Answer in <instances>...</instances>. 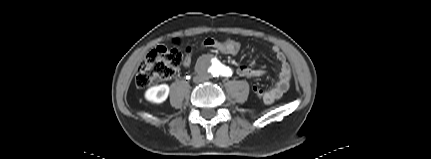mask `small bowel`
Returning a JSON list of instances; mask_svg holds the SVG:
<instances>
[{
	"instance_id": "small-bowel-1",
	"label": "small bowel",
	"mask_w": 431,
	"mask_h": 159,
	"mask_svg": "<svg viewBox=\"0 0 431 159\" xmlns=\"http://www.w3.org/2000/svg\"><path fill=\"white\" fill-rule=\"evenodd\" d=\"M203 47H210L214 49L224 50L226 47L230 49H237L239 52L240 44L234 40H215L212 38H208L203 42ZM214 45V46H213ZM272 51L275 53L276 58L280 64V72L277 82L274 87L268 91H265V94L261 99L265 104H272L274 101L279 99L290 87L291 83V69L289 64L286 61V58L282 52H280L276 47L272 48ZM192 63V50L188 48L186 50V55L183 60V66L189 67ZM237 74L241 77L245 78H257L265 75V71L262 69H252L247 65H240L237 68Z\"/></svg>"
}]
</instances>
